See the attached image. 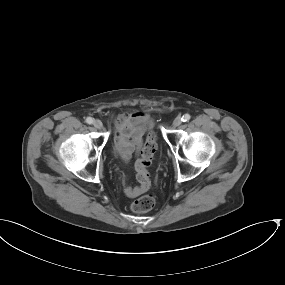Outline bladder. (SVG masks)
<instances>
[{"label": "bladder", "mask_w": 285, "mask_h": 285, "mask_svg": "<svg viewBox=\"0 0 285 285\" xmlns=\"http://www.w3.org/2000/svg\"><path fill=\"white\" fill-rule=\"evenodd\" d=\"M141 125H144L145 128L151 129L152 128V121L150 120V118H145L142 121H140ZM139 126L137 124L133 125L134 129H137Z\"/></svg>", "instance_id": "obj_1"}]
</instances>
